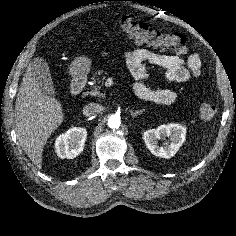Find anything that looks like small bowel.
I'll use <instances>...</instances> for the list:
<instances>
[{
    "label": "small bowel",
    "mask_w": 236,
    "mask_h": 236,
    "mask_svg": "<svg viewBox=\"0 0 236 236\" xmlns=\"http://www.w3.org/2000/svg\"><path fill=\"white\" fill-rule=\"evenodd\" d=\"M126 65L135 79L134 93L141 99L168 105L177 99V93L158 88V82L149 77L145 64L164 69V79L169 82L186 83L201 75V60L198 54L189 53L186 46L177 49L173 55L160 54L148 49L127 50L124 53Z\"/></svg>",
    "instance_id": "c3829d8e"
}]
</instances>
